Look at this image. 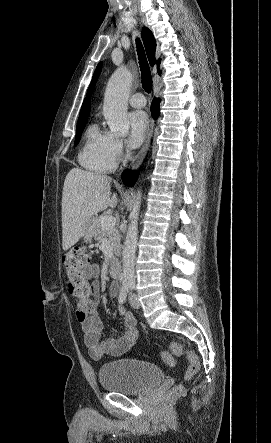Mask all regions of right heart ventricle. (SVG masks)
Segmentation results:
<instances>
[{
  "label": "right heart ventricle",
  "mask_w": 271,
  "mask_h": 443,
  "mask_svg": "<svg viewBox=\"0 0 271 443\" xmlns=\"http://www.w3.org/2000/svg\"><path fill=\"white\" fill-rule=\"evenodd\" d=\"M112 135L99 129L96 123L90 125L84 135V142L78 155L80 164L91 171L111 172L116 160L110 153Z\"/></svg>",
  "instance_id": "e07e8e85"
}]
</instances>
